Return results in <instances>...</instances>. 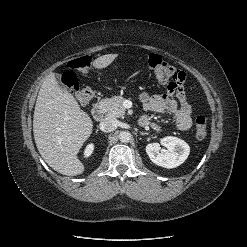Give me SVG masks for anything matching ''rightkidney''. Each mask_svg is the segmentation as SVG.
Here are the masks:
<instances>
[{
    "instance_id": "obj_1",
    "label": "right kidney",
    "mask_w": 247,
    "mask_h": 247,
    "mask_svg": "<svg viewBox=\"0 0 247 247\" xmlns=\"http://www.w3.org/2000/svg\"><path fill=\"white\" fill-rule=\"evenodd\" d=\"M93 150H94L93 144L87 145V147L85 148V151H84V156L89 157L93 153Z\"/></svg>"
}]
</instances>
